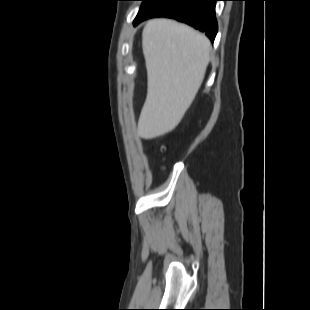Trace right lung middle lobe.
I'll return each instance as SVG.
<instances>
[{
  "label": "right lung middle lobe",
  "mask_w": 310,
  "mask_h": 310,
  "mask_svg": "<svg viewBox=\"0 0 310 310\" xmlns=\"http://www.w3.org/2000/svg\"><path fill=\"white\" fill-rule=\"evenodd\" d=\"M143 1V4L141 6L140 11H143L144 9L149 8L150 6H152L153 4L159 2L160 0H141Z\"/></svg>",
  "instance_id": "right-lung-middle-lobe-1"
}]
</instances>
